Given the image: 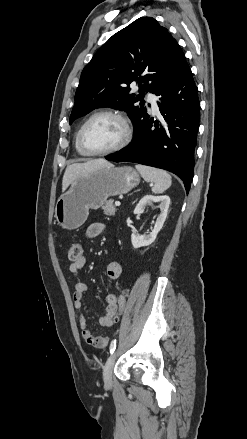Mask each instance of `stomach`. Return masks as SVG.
Instances as JSON below:
<instances>
[{
	"instance_id": "stomach-1",
	"label": "stomach",
	"mask_w": 247,
	"mask_h": 439,
	"mask_svg": "<svg viewBox=\"0 0 247 439\" xmlns=\"http://www.w3.org/2000/svg\"><path fill=\"white\" fill-rule=\"evenodd\" d=\"M140 182L138 172L129 166H108L75 179L55 206V218L67 230L80 227L89 209H98L109 197L124 194Z\"/></svg>"
}]
</instances>
